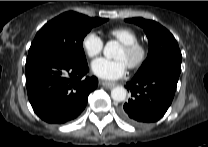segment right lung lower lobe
<instances>
[{
  "mask_svg": "<svg viewBox=\"0 0 208 147\" xmlns=\"http://www.w3.org/2000/svg\"><path fill=\"white\" fill-rule=\"evenodd\" d=\"M87 63L63 56H46L26 62V87L34 112L51 124L75 119L86 107L98 79L86 76Z\"/></svg>",
  "mask_w": 208,
  "mask_h": 147,
  "instance_id": "1",
  "label": "right lung lower lobe"
}]
</instances>
